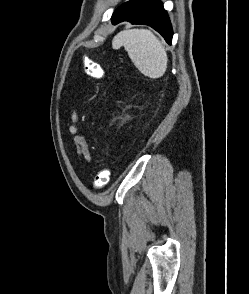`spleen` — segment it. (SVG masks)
<instances>
[{
  "instance_id": "spleen-1",
  "label": "spleen",
  "mask_w": 249,
  "mask_h": 294,
  "mask_svg": "<svg viewBox=\"0 0 249 294\" xmlns=\"http://www.w3.org/2000/svg\"><path fill=\"white\" fill-rule=\"evenodd\" d=\"M124 46L137 69L147 77L163 76L168 57L159 39L146 29H129L118 33L112 41L113 49Z\"/></svg>"
}]
</instances>
